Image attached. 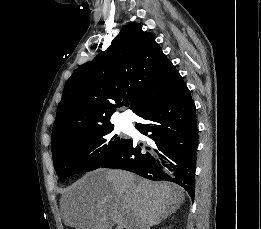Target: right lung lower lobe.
<instances>
[{"label": "right lung lower lobe", "instance_id": "right-lung-lower-lobe-1", "mask_svg": "<svg viewBox=\"0 0 261 229\" xmlns=\"http://www.w3.org/2000/svg\"><path fill=\"white\" fill-rule=\"evenodd\" d=\"M139 116L147 122L136 124V128L152 140L150 144L141 148L131 140L102 168L123 169L150 180L176 183L194 200L198 129L195 104L182 77Z\"/></svg>", "mask_w": 261, "mask_h": 229}]
</instances>
